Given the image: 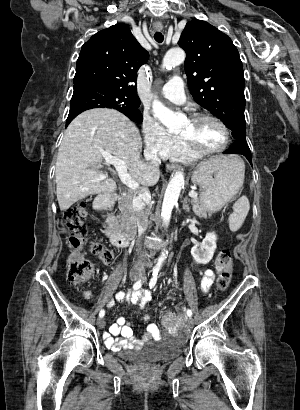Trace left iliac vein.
Segmentation results:
<instances>
[{"instance_id": "1", "label": "left iliac vein", "mask_w": 300, "mask_h": 410, "mask_svg": "<svg viewBox=\"0 0 300 410\" xmlns=\"http://www.w3.org/2000/svg\"><path fill=\"white\" fill-rule=\"evenodd\" d=\"M186 322L188 323V325H192L193 324V320L191 317H185Z\"/></svg>"}]
</instances>
